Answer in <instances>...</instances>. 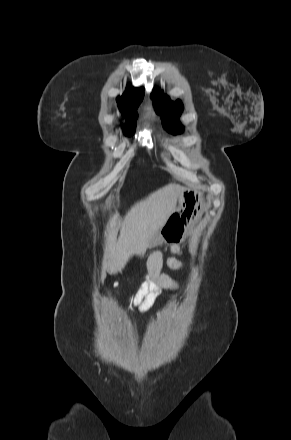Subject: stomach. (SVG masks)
<instances>
[{
    "label": "stomach",
    "mask_w": 291,
    "mask_h": 440,
    "mask_svg": "<svg viewBox=\"0 0 291 440\" xmlns=\"http://www.w3.org/2000/svg\"><path fill=\"white\" fill-rule=\"evenodd\" d=\"M177 199L178 208L170 213L165 223L151 239L149 246H156L162 242H178L185 238L207 209L203 192L199 190L183 189Z\"/></svg>",
    "instance_id": "0dacf381"
}]
</instances>
